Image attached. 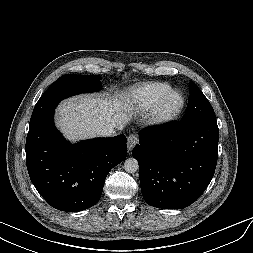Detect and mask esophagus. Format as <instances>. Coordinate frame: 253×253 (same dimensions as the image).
Here are the masks:
<instances>
[{
    "mask_svg": "<svg viewBox=\"0 0 253 253\" xmlns=\"http://www.w3.org/2000/svg\"><path fill=\"white\" fill-rule=\"evenodd\" d=\"M138 144V137L135 134H131L127 137V148L128 151H132V149Z\"/></svg>",
    "mask_w": 253,
    "mask_h": 253,
    "instance_id": "34e87169",
    "label": "esophagus"
}]
</instances>
